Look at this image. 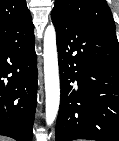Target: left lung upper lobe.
Returning a JSON list of instances; mask_svg holds the SVG:
<instances>
[{"instance_id":"1","label":"left lung upper lobe","mask_w":119,"mask_h":141,"mask_svg":"<svg viewBox=\"0 0 119 141\" xmlns=\"http://www.w3.org/2000/svg\"><path fill=\"white\" fill-rule=\"evenodd\" d=\"M51 17L116 35L114 19L105 0H55Z\"/></svg>"}]
</instances>
